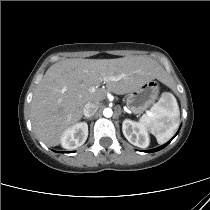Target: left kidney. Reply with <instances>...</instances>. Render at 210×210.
<instances>
[{"label": "left kidney", "instance_id": "obj_1", "mask_svg": "<svg viewBox=\"0 0 210 210\" xmlns=\"http://www.w3.org/2000/svg\"><path fill=\"white\" fill-rule=\"evenodd\" d=\"M122 131L131 144L140 148L149 146V135L140 123L125 119L122 123Z\"/></svg>", "mask_w": 210, "mask_h": 210}]
</instances>
